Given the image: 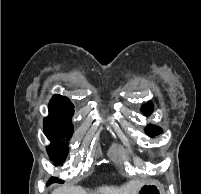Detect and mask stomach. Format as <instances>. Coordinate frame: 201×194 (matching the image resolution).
Listing matches in <instances>:
<instances>
[{
	"instance_id": "1",
	"label": "stomach",
	"mask_w": 201,
	"mask_h": 194,
	"mask_svg": "<svg viewBox=\"0 0 201 194\" xmlns=\"http://www.w3.org/2000/svg\"><path fill=\"white\" fill-rule=\"evenodd\" d=\"M137 194H161V187L157 182L143 183Z\"/></svg>"
}]
</instances>
